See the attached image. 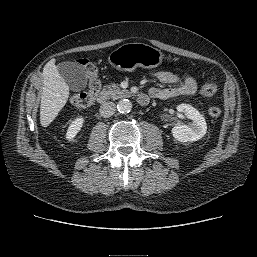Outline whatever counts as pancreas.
Instances as JSON below:
<instances>
[{
    "label": "pancreas",
    "instance_id": "obj_1",
    "mask_svg": "<svg viewBox=\"0 0 257 257\" xmlns=\"http://www.w3.org/2000/svg\"><path fill=\"white\" fill-rule=\"evenodd\" d=\"M103 93L112 99H118L125 96V93H129L127 90L120 89L118 84L111 83L103 89Z\"/></svg>",
    "mask_w": 257,
    "mask_h": 257
}]
</instances>
